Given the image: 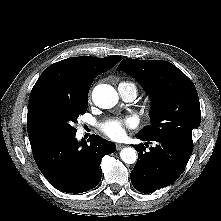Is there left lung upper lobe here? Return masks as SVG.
I'll list each match as a JSON object with an SVG mask.
<instances>
[{
    "mask_svg": "<svg viewBox=\"0 0 221 221\" xmlns=\"http://www.w3.org/2000/svg\"><path fill=\"white\" fill-rule=\"evenodd\" d=\"M137 78L152 98V123L138 134L168 138L193 148L192 130L200 125L199 97L193 82L161 60L124 59L117 67Z\"/></svg>",
    "mask_w": 221,
    "mask_h": 221,
    "instance_id": "left-lung-upper-lobe-1",
    "label": "left lung upper lobe"
}]
</instances>
